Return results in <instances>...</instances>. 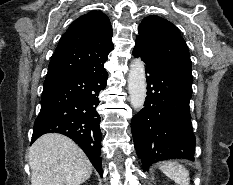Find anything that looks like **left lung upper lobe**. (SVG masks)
<instances>
[{
  "label": "left lung upper lobe",
  "instance_id": "obj_1",
  "mask_svg": "<svg viewBox=\"0 0 233 185\" xmlns=\"http://www.w3.org/2000/svg\"><path fill=\"white\" fill-rule=\"evenodd\" d=\"M136 47L154 59L191 69L188 47L179 29L168 20L151 15L142 20Z\"/></svg>",
  "mask_w": 233,
  "mask_h": 185
}]
</instances>
